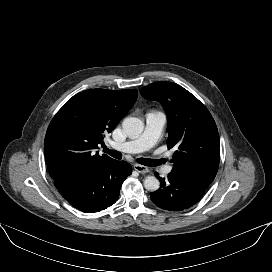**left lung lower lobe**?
I'll use <instances>...</instances> for the list:
<instances>
[{
    "label": "left lung lower lobe",
    "mask_w": 272,
    "mask_h": 272,
    "mask_svg": "<svg viewBox=\"0 0 272 272\" xmlns=\"http://www.w3.org/2000/svg\"><path fill=\"white\" fill-rule=\"evenodd\" d=\"M156 177L161 188L151 193L150 198L158 207L169 211H182L196 204L204 195L209 184L178 172L167 178Z\"/></svg>",
    "instance_id": "obj_1"
}]
</instances>
